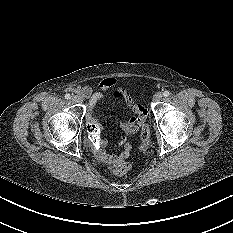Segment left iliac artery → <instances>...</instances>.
I'll list each match as a JSON object with an SVG mask.
<instances>
[{
	"instance_id": "obj_1",
	"label": "left iliac artery",
	"mask_w": 233,
	"mask_h": 233,
	"mask_svg": "<svg viewBox=\"0 0 233 233\" xmlns=\"http://www.w3.org/2000/svg\"><path fill=\"white\" fill-rule=\"evenodd\" d=\"M163 95H164L165 97H168V96L170 95V92L166 90V91H164Z\"/></svg>"
}]
</instances>
